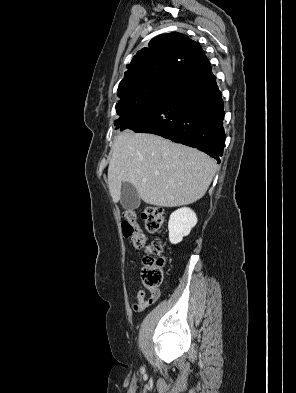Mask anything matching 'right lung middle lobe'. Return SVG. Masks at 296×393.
<instances>
[{"mask_svg":"<svg viewBox=\"0 0 296 393\" xmlns=\"http://www.w3.org/2000/svg\"><path fill=\"white\" fill-rule=\"evenodd\" d=\"M169 78L166 76L153 78L144 85L139 95L130 100L119 102L116 105V111L120 117L115 121V125H120V130H123L130 120L141 113L153 101L160 87Z\"/></svg>","mask_w":296,"mask_h":393,"instance_id":"right-lung-middle-lobe-1","label":"right lung middle lobe"}]
</instances>
